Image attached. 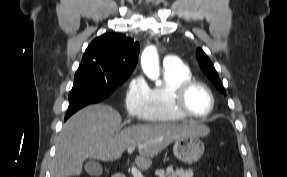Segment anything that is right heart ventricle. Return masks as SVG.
<instances>
[{"label":"right heart ventricle","instance_id":"right-heart-ventricle-1","mask_svg":"<svg viewBox=\"0 0 287 177\" xmlns=\"http://www.w3.org/2000/svg\"><path fill=\"white\" fill-rule=\"evenodd\" d=\"M163 84L150 88L146 120L153 123H170L186 119L173 107V95L179 85L192 79L190 69L184 64L163 67Z\"/></svg>","mask_w":287,"mask_h":177}]
</instances>
